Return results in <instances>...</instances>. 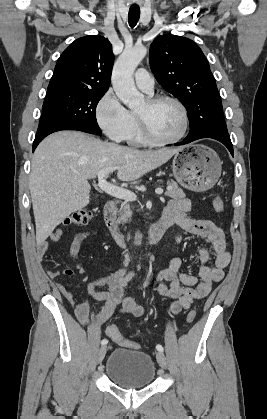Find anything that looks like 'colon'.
<instances>
[{
    "label": "colon",
    "instance_id": "1",
    "mask_svg": "<svg viewBox=\"0 0 267 419\" xmlns=\"http://www.w3.org/2000/svg\"><path fill=\"white\" fill-rule=\"evenodd\" d=\"M212 205L215 211L221 212L224 209V201L221 197L217 196L213 199ZM92 218V212L88 209H79L70 214L64 221L65 225H85ZM69 272V271H67ZM196 317V310H191L187 314V322L191 323ZM107 335L115 343L134 350L141 349V345L137 342L131 341L121 335L115 325H108L106 328Z\"/></svg>",
    "mask_w": 267,
    "mask_h": 419
}]
</instances>
